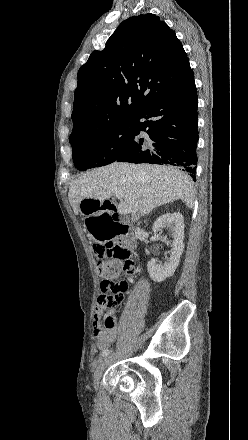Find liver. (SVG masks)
<instances>
[{"label":"liver","mask_w":248,"mask_h":440,"mask_svg":"<svg viewBox=\"0 0 248 440\" xmlns=\"http://www.w3.org/2000/svg\"><path fill=\"white\" fill-rule=\"evenodd\" d=\"M109 186L121 191L122 203L136 216L178 199L188 208L193 207L191 178L182 171L170 166L114 162L93 169L70 184L68 198L74 213H79L84 199H109L113 193Z\"/></svg>","instance_id":"liver-1"}]
</instances>
